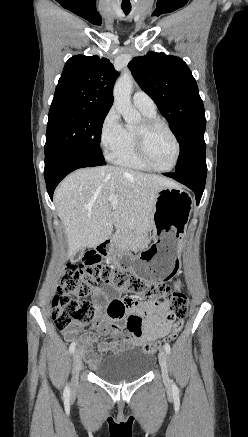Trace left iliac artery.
<instances>
[{"instance_id": "44dca946", "label": "left iliac artery", "mask_w": 248, "mask_h": 437, "mask_svg": "<svg viewBox=\"0 0 248 437\" xmlns=\"http://www.w3.org/2000/svg\"><path fill=\"white\" fill-rule=\"evenodd\" d=\"M164 348H165V351H166L167 354L171 353V348H170V345L168 343H166L164 345ZM172 388H173L174 391L178 390V388H177V386L175 384L172 385Z\"/></svg>"}]
</instances>
